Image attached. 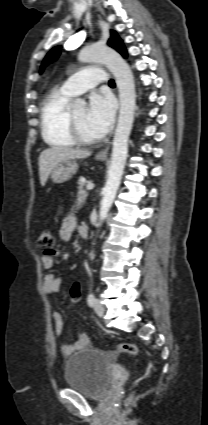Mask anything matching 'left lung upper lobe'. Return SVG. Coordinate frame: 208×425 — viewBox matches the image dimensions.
<instances>
[{"mask_svg":"<svg viewBox=\"0 0 208 425\" xmlns=\"http://www.w3.org/2000/svg\"><path fill=\"white\" fill-rule=\"evenodd\" d=\"M110 47L114 48L117 52H119L124 58L127 57V51L123 45L122 40L119 38L117 33L115 31H111V37L108 40L107 43ZM61 47L57 46L54 47L49 51V53L46 55V57L43 60L42 66H41V72L43 71L44 67L51 61H54L58 58L60 55Z\"/></svg>","mask_w":208,"mask_h":425,"instance_id":"obj_1","label":"left lung upper lobe"}]
</instances>
